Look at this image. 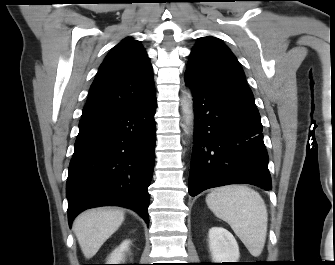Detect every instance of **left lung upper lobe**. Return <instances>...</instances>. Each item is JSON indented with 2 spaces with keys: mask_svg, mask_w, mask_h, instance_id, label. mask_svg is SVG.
I'll return each mask as SVG.
<instances>
[{
  "mask_svg": "<svg viewBox=\"0 0 335 265\" xmlns=\"http://www.w3.org/2000/svg\"><path fill=\"white\" fill-rule=\"evenodd\" d=\"M187 73L206 84L254 103L243 69L230 49L215 37H203L194 46Z\"/></svg>",
  "mask_w": 335,
  "mask_h": 265,
  "instance_id": "1",
  "label": "left lung upper lobe"
}]
</instances>
